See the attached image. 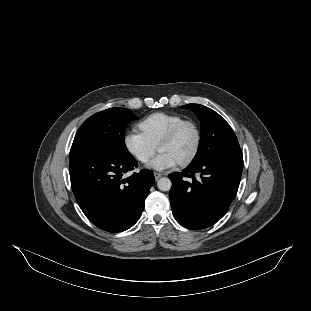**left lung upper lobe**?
<instances>
[{"label":"left lung upper lobe","mask_w":311,"mask_h":311,"mask_svg":"<svg viewBox=\"0 0 311 311\" xmlns=\"http://www.w3.org/2000/svg\"><path fill=\"white\" fill-rule=\"evenodd\" d=\"M182 107L190 108L195 112L201 124L198 152L190 163L191 165L199 164L227 151L240 150L234 131L218 113L199 104H188Z\"/></svg>","instance_id":"obj_1"}]
</instances>
